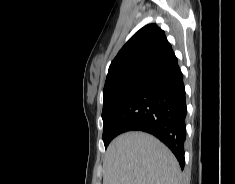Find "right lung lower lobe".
<instances>
[{"instance_id":"right-lung-lower-lobe-1","label":"right lung lower lobe","mask_w":235,"mask_h":184,"mask_svg":"<svg viewBox=\"0 0 235 184\" xmlns=\"http://www.w3.org/2000/svg\"><path fill=\"white\" fill-rule=\"evenodd\" d=\"M186 117L183 74L175 54L143 77L123 101L111 132L144 131L167 145L184 168Z\"/></svg>"}]
</instances>
